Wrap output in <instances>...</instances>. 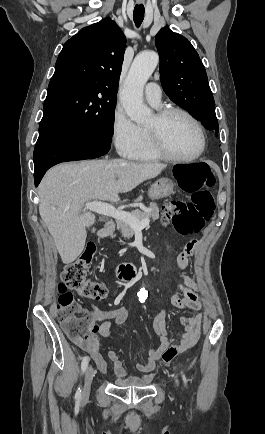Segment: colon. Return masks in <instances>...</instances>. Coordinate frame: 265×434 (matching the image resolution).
Wrapping results in <instances>:
<instances>
[{
    "instance_id": "5ec220e1",
    "label": "colon",
    "mask_w": 265,
    "mask_h": 434,
    "mask_svg": "<svg viewBox=\"0 0 265 434\" xmlns=\"http://www.w3.org/2000/svg\"><path fill=\"white\" fill-rule=\"evenodd\" d=\"M175 164L174 172L177 173V180L182 181L181 186L187 193L191 194V200L172 199L164 205L162 218L170 222L176 231L182 236H191L202 230L204 223L213 214V198L210 188L216 183L212 167L207 164ZM96 253V248L90 246L84 250L81 256L73 263L64 267L61 274L59 290L62 293L61 302L58 308L67 310L60 313L59 324L63 328L64 335H68L72 347H87L89 341L87 334L81 330L92 331L95 325L99 324L96 317H89L84 314H72L75 311L73 297L66 290L71 289L82 298L93 301L105 299L109 290L105 283L97 282L88 278L89 265ZM182 354L179 352L178 344H169L164 349L163 362L172 364Z\"/></svg>"
}]
</instances>
